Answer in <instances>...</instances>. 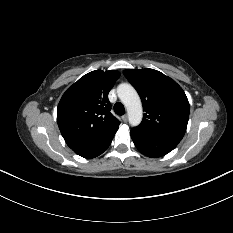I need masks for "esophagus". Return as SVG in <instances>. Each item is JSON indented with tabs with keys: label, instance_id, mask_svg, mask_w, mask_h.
<instances>
[{
	"label": "esophagus",
	"instance_id": "obj_1",
	"mask_svg": "<svg viewBox=\"0 0 233 233\" xmlns=\"http://www.w3.org/2000/svg\"><path fill=\"white\" fill-rule=\"evenodd\" d=\"M122 119H123L124 122H127V120H128V115H127V114L123 115V116H122Z\"/></svg>",
	"mask_w": 233,
	"mask_h": 233
}]
</instances>
